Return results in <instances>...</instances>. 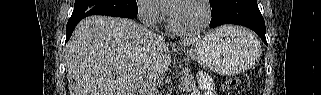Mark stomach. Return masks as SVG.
I'll list each match as a JSON object with an SVG mask.
<instances>
[{
	"label": "stomach",
	"mask_w": 321,
	"mask_h": 95,
	"mask_svg": "<svg viewBox=\"0 0 321 95\" xmlns=\"http://www.w3.org/2000/svg\"><path fill=\"white\" fill-rule=\"evenodd\" d=\"M260 50V42L253 33L227 26L205 35L188 53L213 72L234 75L254 64Z\"/></svg>",
	"instance_id": "1"
}]
</instances>
